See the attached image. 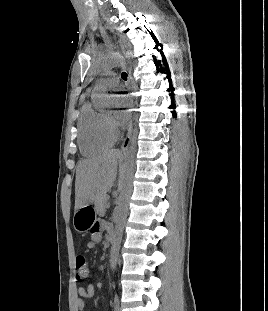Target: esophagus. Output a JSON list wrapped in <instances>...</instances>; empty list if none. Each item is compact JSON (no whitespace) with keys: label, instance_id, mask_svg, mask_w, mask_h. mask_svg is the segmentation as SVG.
I'll list each match as a JSON object with an SVG mask.
<instances>
[{"label":"esophagus","instance_id":"obj_1","mask_svg":"<svg viewBox=\"0 0 268 311\" xmlns=\"http://www.w3.org/2000/svg\"><path fill=\"white\" fill-rule=\"evenodd\" d=\"M127 80H128V83L130 84L131 80H132L130 71L128 72ZM132 131H133V124H132V119H131L130 122H129V127H128L127 135H126V137H125V139H124V141H123V143L121 145L120 151H119V153L121 155L126 154V152L128 150V147H129V144H130V141H131Z\"/></svg>","mask_w":268,"mask_h":311}]
</instances>
